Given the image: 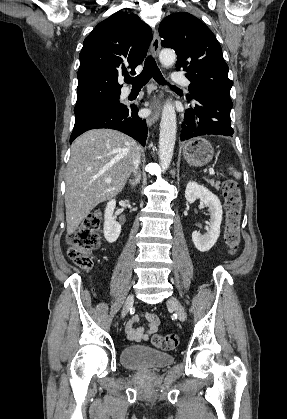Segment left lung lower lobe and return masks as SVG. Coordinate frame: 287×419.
<instances>
[{
    "label": "left lung lower lobe",
    "mask_w": 287,
    "mask_h": 419,
    "mask_svg": "<svg viewBox=\"0 0 287 419\" xmlns=\"http://www.w3.org/2000/svg\"><path fill=\"white\" fill-rule=\"evenodd\" d=\"M193 103L185 112L181 125L182 141L194 137L224 135L232 136L230 111L233 106L230 95L216 92H199L192 97Z\"/></svg>",
    "instance_id": "1"
}]
</instances>
